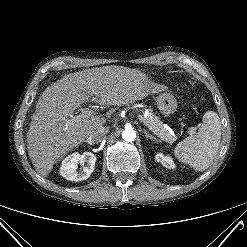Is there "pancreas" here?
I'll return each instance as SVG.
<instances>
[{
  "instance_id": "pancreas-1",
  "label": "pancreas",
  "mask_w": 247,
  "mask_h": 247,
  "mask_svg": "<svg viewBox=\"0 0 247 247\" xmlns=\"http://www.w3.org/2000/svg\"><path fill=\"white\" fill-rule=\"evenodd\" d=\"M144 119L145 125L161 140L170 144L176 141L177 136L175 134L170 133L168 129L164 127L163 122L152 112H150L149 115Z\"/></svg>"
}]
</instances>
